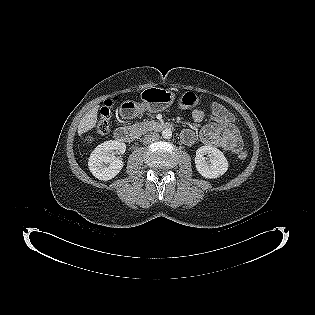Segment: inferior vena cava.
<instances>
[{
  "mask_svg": "<svg viewBox=\"0 0 315 315\" xmlns=\"http://www.w3.org/2000/svg\"><path fill=\"white\" fill-rule=\"evenodd\" d=\"M159 137H160V136H159L158 133H155V132L149 133V134L145 135L143 142H144V143H147V144H148V143H152V142L158 140Z\"/></svg>",
  "mask_w": 315,
  "mask_h": 315,
  "instance_id": "obj_1",
  "label": "inferior vena cava"
}]
</instances>
